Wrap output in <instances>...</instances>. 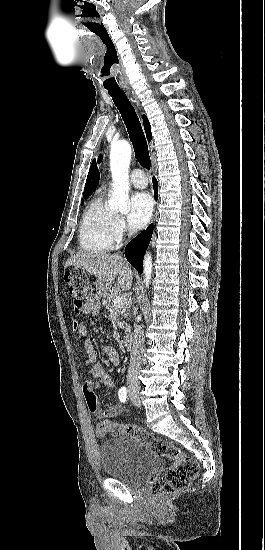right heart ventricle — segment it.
<instances>
[{"mask_svg": "<svg viewBox=\"0 0 265 550\" xmlns=\"http://www.w3.org/2000/svg\"><path fill=\"white\" fill-rule=\"evenodd\" d=\"M116 215L104 203L102 195L95 197L82 215L78 240L82 250L105 252L112 248Z\"/></svg>", "mask_w": 265, "mask_h": 550, "instance_id": "right-heart-ventricle-1", "label": "right heart ventricle"}]
</instances>
